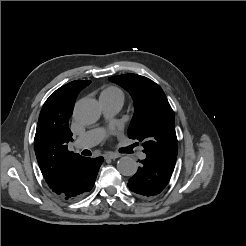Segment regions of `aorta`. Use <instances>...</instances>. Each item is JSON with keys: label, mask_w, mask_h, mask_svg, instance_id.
<instances>
[{"label": "aorta", "mask_w": 246, "mask_h": 246, "mask_svg": "<svg viewBox=\"0 0 246 246\" xmlns=\"http://www.w3.org/2000/svg\"><path fill=\"white\" fill-rule=\"evenodd\" d=\"M100 116L99 104L94 99H81L74 107V119L83 125L95 123ZM137 162L130 156L121 157L117 161V169L124 176H133L137 171Z\"/></svg>", "instance_id": "1"}]
</instances>
